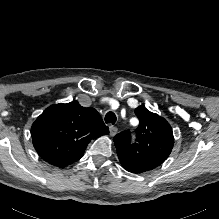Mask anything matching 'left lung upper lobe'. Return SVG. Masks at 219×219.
I'll list each match as a JSON object with an SVG mask.
<instances>
[{
    "mask_svg": "<svg viewBox=\"0 0 219 219\" xmlns=\"http://www.w3.org/2000/svg\"><path fill=\"white\" fill-rule=\"evenodd\" d=\"M139 119L136 142L131 143V132L126 130L114 137L119 160L131 173H144L162 164L170 155L173 132L169 123L144 106L135 110Z\"/></svg>",
    "mask_w": 219,
    "mask_h": 219,
    "instance_id": "left-lung-upper-lobe-1",
    "label": "left lung upper lobe"
}]
</instances>
